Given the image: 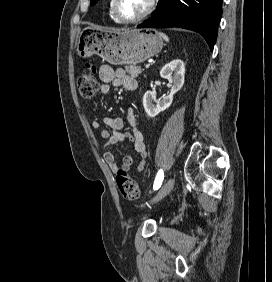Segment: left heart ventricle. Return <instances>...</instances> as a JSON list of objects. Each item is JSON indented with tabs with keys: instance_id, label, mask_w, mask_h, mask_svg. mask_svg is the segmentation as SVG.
<instances>
[{
	"instance_id": "b2bd125f",
	"label": "left heart ventricle",
	"mask_w": 272,
	"mask_h": 282,
	"mask_svg": "<svg viewBox=\"0 0 272 282\" xmlns=\"http://www.w3.org/2000/svg\"><path fill=\"white\" fill-rule=\"evenodd\" d=\"M150 1L151 0H118V9L123 16L133 18L144 13Z\"/></svg>"
}]
</instances>
